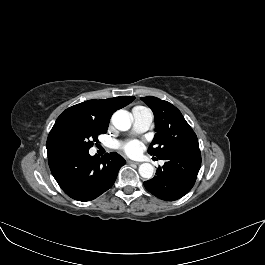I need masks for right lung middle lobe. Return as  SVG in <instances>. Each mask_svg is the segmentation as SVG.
Instances as JSON below:
<instances>
[{
  "mask_svg": "<svg viewBox=\"0 0 265 265\" xmlns=\"http://www.w3.org/2000/svg\"><path fill=\"white\" fill-rule=\"evenodd\" d=\"M107 132V128L92 122L78 119H66L51 129L47 139V150L54 154L86 153L98 141V135Z\"/></svg>",
  "mask_w": 265,
  "mask_h": 265,
  "instance_id": "dd1d6c3e",
  "label": "right lung middle lobe"
}]
</instances>
